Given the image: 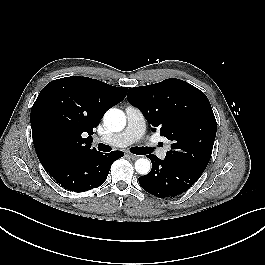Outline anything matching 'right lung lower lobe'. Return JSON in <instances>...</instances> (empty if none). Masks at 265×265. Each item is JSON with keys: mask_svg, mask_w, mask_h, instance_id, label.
I'll return each instance as SVG.
<instances>
[{"mask_svg": "<svg viewBox=\"0 0 265 265\" xmlns=\"http://www.w3.org/2000/svg\"><path fill=\"white\" fill-rule=\"evenodd\" d=\"M123 155L122 151H93L55 161L44 169L65 189L88 191L105 182L112 163Z\"/></svg>", "mask_w": 265, "mask_h": 265, "instance_id": "98d812e1", "label": "right lung lower lobe"}]
</instances>
